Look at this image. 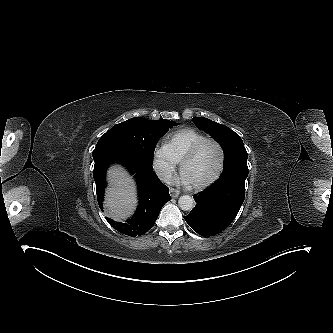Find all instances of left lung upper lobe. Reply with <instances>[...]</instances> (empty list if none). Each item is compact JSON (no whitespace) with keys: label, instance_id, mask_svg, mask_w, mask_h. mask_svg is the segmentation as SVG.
<instances>
[{"label":"left lung upper lobe","instance_id":"5c2ea615","mask_svg":"<svg viewBox=\"0 0 333 333\" xmlns=\"http://www.w3.org/2000/svg\"><path fill=\"white\" fill-rule=\"evenodd\" d=\"M196 126L208 133L219 142L225 156V170L218 180L220 182H231L245 184L248 176L247 151L240 136L229 127L211 121L207 118H193Z\"/></svg>","mask_w":333,"mask_h":333}]
</instances>
